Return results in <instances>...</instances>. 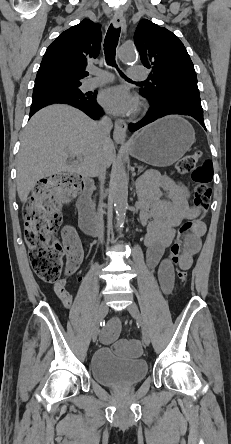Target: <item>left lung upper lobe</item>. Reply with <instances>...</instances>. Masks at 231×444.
<instances>
[{"instance_id": "1", "label": "left lung upper lobe", "mask_w": 231, "mask_h": 444, "mask_svg": "<svg viewBox=\"0 0 231 444\" xmlns=\"http://www.w3.org/2000/svg\"><path fill=\"white\" fill-rule=\"evenodd\" d=\"M134 42L152 83L140 89L155 107L184 103L201 107L194 65L179 38L166 28L141 20Z\"/></svg>"}]
</instances>
